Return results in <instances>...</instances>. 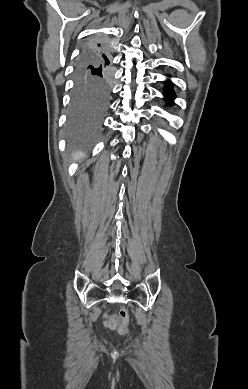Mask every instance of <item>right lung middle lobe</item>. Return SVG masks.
Masks as SVG:
<instances>
[{"mask_svg": "<svg viewBox=\"0 0 248 389\" xmlns=\"http://www.w3.org/2000/svg\"><path fill=\"white\" fill-rule=\"evenodd\" d=\"M109 63L83 54L76 64V86L70 110V140L91 145L111 93Z\"/></svg>", "mask_w": 248, "mask_h": 389, "instance_id": "1", "label": "right lung middle lobe"}]
</instances>
